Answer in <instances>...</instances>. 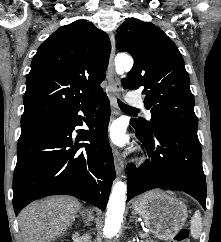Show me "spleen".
<instances>
[{
	"label": "spleen",
	"mask_w": 221,
	"mask_h": 242,
	"mask_svg": "<svg viewBox=\"0 0 221 242\" xmlns=\"http://www.w3.org/2000/svg\"><path fill=\"white\" fill-rule=\"evenodd\" d=\"M168 193L173 194V192L168 191ZM201 231V215L196 212L191 220V235L194 239H198Z\"/></svg>",
	"instance_id": "spleen-1"
}]
</instances>
